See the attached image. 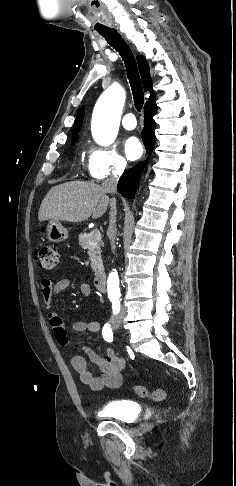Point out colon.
I'll return each mask as SVG.
<instances>
[{"label":"colon","instance_id":"colon-1","mask_svg":"<svg viewBox=\"0 0 236 486\" xmlns=\"http://www.w3.org/2000/svg\"><path fill=\"white\" fill-rule=\"evenodd\" d=\"M39 266L44 270H51L59 263V254L52 247H42L37 255ZM135 393L145 399L152 401H163L167 397V392L163 389L149 390L147 387L138 385L134 388Z\"/></svg>","mask_w":236,"mask_h":486}]
</instances>
